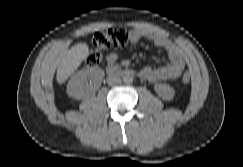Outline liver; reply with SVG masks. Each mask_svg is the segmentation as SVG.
<instances>
[{
    "label": "liver",
    "instance_id": "6515ba94",
    "mask_svg": "<svg viewBox=\"0 0 243 167\" xmlns=\"http://www.w3.org/2000/svg\"><path fill=\"white\" fill-rule=\"evenodd\" d=\"M88 55L89 47L86 43H78L72 46L63 56L57 68V82L59 84L65 82Z\"/></svg>",
    "mask_w": 243,
    "mask_h": 167
}]
</instances>
